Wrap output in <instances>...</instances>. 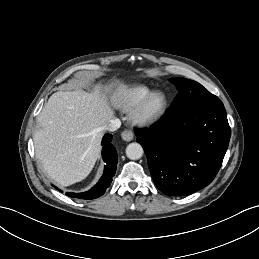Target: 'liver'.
<instances>
[{"label":"liver","instance_id":"obj_1","mask_svg":"<svg viewBox=\"0 0 259 259\" xmlns=\"http://www.w3.org/2000/svg\"><path fill=\"white\" fill-rule=\"evenodd\" d=\"M103 91L99 86L91 92L58 91L38 116L35 154L47 176L60 186L85 179L100 155L102 126L115 119L109 95L113 93L111 100L116 101L126 87L114 81Z\"/></svg>","mask_w":259,"mask_h":259}]
</instances>
